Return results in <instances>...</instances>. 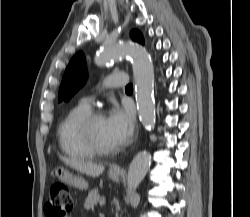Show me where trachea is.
Masks as SVG:
<instances>
[{
  "label": "trachea",
  "instance_id": "obj_1",
  "mask_svg": "<svg viewBox=\"0 0 250 217\" xmlns=\"http://www.w3.org/2000/svg\"><path fill=\"white\" fill-rule=\"evenodd\" d=\"M125 90H133V85L132 84L127 85Z\"/></svg>",
  "mask_w": 250,
  "mask_h": 217
}]
</instances>
